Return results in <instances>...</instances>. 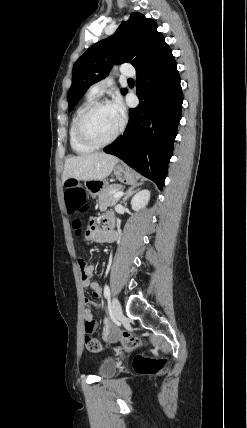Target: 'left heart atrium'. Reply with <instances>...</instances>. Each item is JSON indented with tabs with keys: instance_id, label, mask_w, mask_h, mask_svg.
Wrapping results in <instances>:
<instances>
[{
	"instance_id": "left-heart-atrium-1",
	"label": "left heart atrium",
	"mask_w": 247,
	"mask_h": 428,
	"mask_svg": "<svg viewBox=\"0 0 247 428\" xmlns=\"http://www.w3.org/2000/svg\"><path fill=\"white\" fill-rule=\"evenodd\" d=\"M114 118L119 124L123 123L125 117V109L120 98H115L108 104Z\"/></svg>"
}]
</instances>
